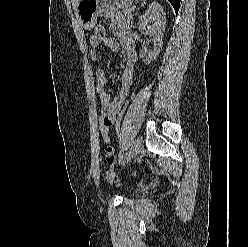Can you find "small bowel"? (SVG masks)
<instances>
[{
  "label": "small bowel",
  "instance_id": "small-bowel-1",
  "mask_svg": "<svg viewBox=\"0 0 248 247\" xmlns=\"http://www.w3.org/2000/svg\"><path fill=\"white\" fill-rule=\"evenodd\" d=\"M118 37L120 42L111 37L104 36L97 38L94 35L90 38V57L93 62H98L99 56L97 50L103 44L110 51L117 53L120 44L123 47L126 63L119 79V90L115 97H112L106 87L108 79L103 69L95 70L96 94L100 105V132L105 142V159L109 166H114L116 156L114 147L109 137V128L115 122L118 112L121 110L133 82L134 65L136 62L135 44L130 34L119 31Z\"/></svg>",
  "mask_w": 248,
  "mask_h": 247
}]
</instances>
